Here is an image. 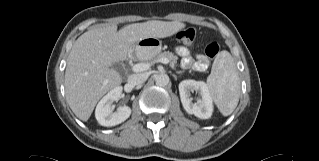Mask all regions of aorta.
<instances>
[{
  "mask_svg": "<svg viewBox=\"0 0 319 161\" xmlns=\"http://www.w3.org/2000/svg\"><path fill=\"white\" fill-rule=\"evenodd\" d=\"M155 81L158 86L164 87L169 84L170 78L166 73H160L156 76Z\"/></svg>",
  "mask_w": 319,
  "mask_h": 161,
  "instance_id": "762f6f07",
  "label": "aorta"
}]
</instances>
